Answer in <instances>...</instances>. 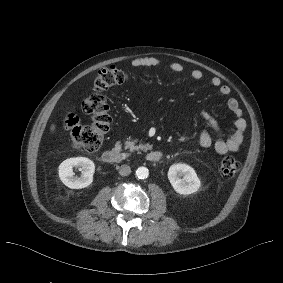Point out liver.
Instances as JSON below:
<instances>
[{
  "mask_svg": "<svg viewBox=\"0 0 283 283\" xmlns=\"http://www.w3.org/2000/svg\"><path fill=\"white\" fill-rule=\"evenodd\" d=\"M57 128H58L57 124H56L55 122H52V123L50 124V127H49L50 135L55 134L56 131H57Z\"/></svg>",
  "mask_w": 283,
  "mask_h": 283,
  "instance_id": "liver-1",
  "label": "liver"
}]
</instances>
